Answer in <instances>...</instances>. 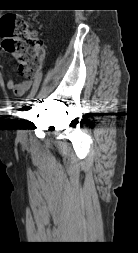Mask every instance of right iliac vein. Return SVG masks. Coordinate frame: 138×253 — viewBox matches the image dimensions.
<instances>
[{"label": "right iliac vein", "mask_w": 138, "mask_h": 253, "mask_svg": "<svg viewBox=\"0 0 138 253\" xmlns=\"http://www.w3.org/2000/svg\"><path fill=\"white\" fill-rule=\"evenodd\" d=\"M35 98L34 96H31L30 98V102L27 104L26 107V113H25V126H28V120L30 118V114L33 112L34 107H35ZM25 129H22V132L19 133L18 138L20 140H24L25 139Z\"/></svg>", "instance_id": "right-iliac-vein-1"}]
</instances>
